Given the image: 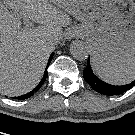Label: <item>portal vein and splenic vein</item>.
Listing matches in <instances>:
<instances>
[{"mask_svg":"<svg viewBox=\"0 0 135 135\" xmlns=\"http://www.w3.org/2000/svg\"><path fill=\"white\" fill-rule=\"evenodd\" d=\"M26 26H27V27H31V26H33V24H32V23H29V24H27Z\"/></svg>","mask_w":135,"mask_h":135,"instance_id":"1","label":"portal vein and splenic vein"}]
</instances>
